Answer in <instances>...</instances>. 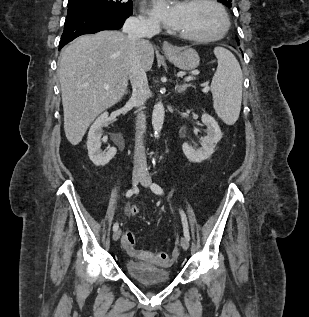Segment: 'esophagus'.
<instances>
[{
  "mask_svg": "<svg viewBox=\"0 0 309 317\" xmlns=\"http://www.w3.org/2000/svg\"><path fill=\"white\" fill-rule=\"evenodd\" d=\"M162 48H163V51H164V52H171V51H173V46H172V44H170L169 42H165V43L163 44Z\"/></svg>",
  "mask_w": 309,
  "mask_h": 317,
  "instance_id": "esophagus-1",
  "label": "esophagus"
}]
</instances>
